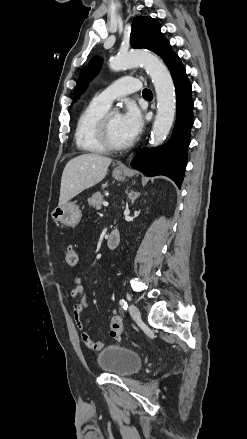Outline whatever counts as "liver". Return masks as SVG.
I'll return each mask as SVG.
<instances>
[{
  "label": "liver",
  "instance_id": "liver-1",
  "mask_svg": "<svg viewBox=\"0 0 247 439\" xmlns=\"http://www.w3.org/2000/svg\"><path fill=\"white\" fill-rule=\"evenodd\" d=\"M111 162V158L95 153H87L71 159L62 173L59 206L101 182Z\"/></svg>",
  "mask_w": 247,
  "mask_h": 439
}]
</instances>
